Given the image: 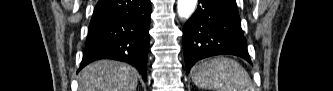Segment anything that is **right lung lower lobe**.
Segmentation results:
<instances>
[{"label":"right lung lower lobe","instance_id":"98d812e1","mask_svg":"<svg viewBox=\"0 0 333 91\" xmlns=\"http://www.w3.org/2000/svg\"><path fill=\"white\" fill-rule=\"evenodd\" d=\"M150 15V0H99L79 70L95 60L114 59L135 66L146 81Z\"/></svg>","mask_w":333,"mask_h":91}]
</instances>
